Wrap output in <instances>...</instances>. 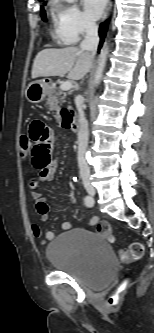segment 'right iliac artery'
Listing matches in <instances>:
<instances>
[{"label":"right iliac artery","instance_id":"obj_1","mask_svg":"<svg viewBox=\"0 0 154 333\" xmlns=\"http://www.w3.org/2000/svg\"><path fill=\"white\" fill-rule=\"evenodd\" d=\"M84 202H85V205H86L87 207H92L93 204H94V200H93V198L90 197V196H86V197L84 198Z\"/></svg>","mask_w":154,"mask_h":333}]
</instances>
